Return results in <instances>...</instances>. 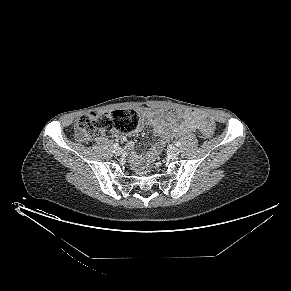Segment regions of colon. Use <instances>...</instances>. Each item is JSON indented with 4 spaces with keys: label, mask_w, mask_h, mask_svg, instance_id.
<instances>
[{
    "label": "colon",
    "mask_w": 291,
    "mask_h": 291,
    "mask_svg": "<svg viewBox=\"0 0 291 291\" xmlns=\"http://www.w3.org/2000/svg\"><path fill=\"white\" fill-rule=\"evenodd\" d=\"M139 122L140 117L135 110H115L109 113L89 112L78 119L75 130L81 141L89 143L112 132L131 133L136 130ZM214 129V125L210 123L202 128L201 133L205 138H211Z\"/></svg>",
    "instance_id": "colon-1"
}]
</instances>
